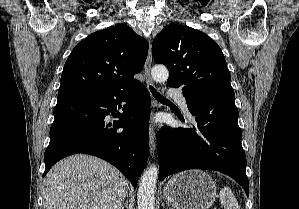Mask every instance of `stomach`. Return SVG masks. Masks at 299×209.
Returning a JSON list of instances; mask_svg holds the SVG:
<instances>
[{"label":"stomach","mask_w":299,"mask_h":209,"mask_svg":"<svg viewBox=\"0 0 299 209\" xmlns=\"http://www.w3.org/2000/svg\"><path fill=\"white\" fill-rule=\"evenodd\" d=\"M163 193L174 209H209L217 197L213 179L202 170L176 174L166 183Z\"/></svg>","instance_id":"obj_1"}]
</instances>
